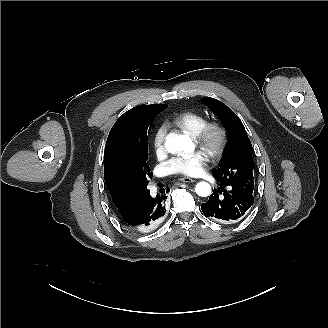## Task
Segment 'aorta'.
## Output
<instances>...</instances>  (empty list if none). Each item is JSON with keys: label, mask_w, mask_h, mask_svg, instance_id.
I'll return each instance as SVG.
<instances>
[{"label": "aorta", "mask_w": 328, "mask_h": 328, "mask_svg": "<svg viewBox=\"0 0 328 328\" xmlns=\"http://www.w3.org/2000/svg\"><path fill=\"white\" fill-rule=\"evenodd\" d=\"M165 146L168 152L190 153L194 150L195 146L191 139L186 135H169L167 136ZM197 195L207 197L211 194V186L207 182H199L195 187Z\"/></svg>", "instance_id": "762f6f07"}]
</instances>
